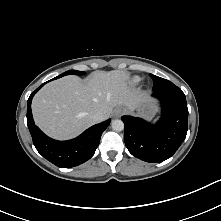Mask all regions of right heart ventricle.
Returning a JSON list of instances; mask_svg holds the SVG:
<instances>
[{
	"label": "right heart ventricle",
	"instance_id": "e07e8e85",
	"mask_svg": "<svg viewBox=\"0 0 221 221\" xmlns=\"http://www.w3.org/2000/svg\"><path fill=\"white\" fill-rule=\"evenodd\" d=\"M135 81H136V82H138V81H139V79H135Z\"/></svg>",
	"mask_w": 221,
	"mask_h": 221
}]
</instances>
